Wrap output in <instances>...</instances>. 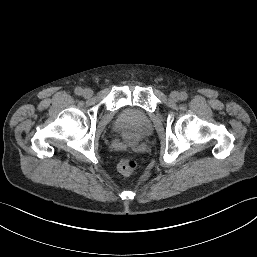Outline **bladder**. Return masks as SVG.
Returning <instances> with one entry per match:
<instances>
[{
  "label": "bladder",
  "instance_id": "31cf9c89",
  "mask_svg": "<svg viewBox=\"0 0 257 257\" xmlns=\"http://www.w3.org/2000/svg\"><path fill=\"white\" fill-rule=\"evenodd\" d=\"M114 129L130 142L147 137L152 131V124L148 115L141 111L124 110L114 122Z\"/></svg>",
  "mask_w": 257,
  "mask_h": 257
}]
</instances>
